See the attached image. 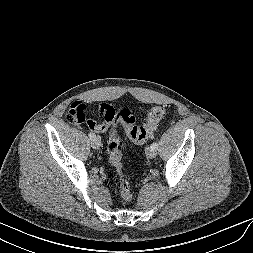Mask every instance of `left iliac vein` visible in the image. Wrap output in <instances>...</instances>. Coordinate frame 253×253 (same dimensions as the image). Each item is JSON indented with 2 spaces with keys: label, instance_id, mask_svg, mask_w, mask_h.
<instances>
[{
  "label": "left iliac vein",
  "instance_id": "left-iliac-vein-1",
  "mask_svg": "<svg viewBox=\"0 0 253 253\" xmlns=\"http://www.w3.org/2000/svg\"><path fill=\"white\" fill-rule=\"evenodd\" d=\"M146 155H147V157H149V158H154V157H156V155H157V150L154 149V148H152V147H149V148H147V150H146Z\"/></svg>",
  "mask_w": 253,
  "mask_h": 253
}]
</instances>
